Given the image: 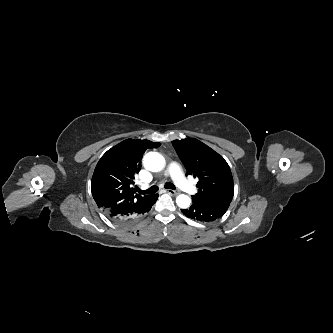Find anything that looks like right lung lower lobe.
Here are the masks:
<instances>
[{"instance_id": "98d812e1", "label": "right lung lower lobe", "mask_w": 333, "mask_h": 333, "mask_svg": "<svg viewBox=\"0 0 333 333\" xmlns=\"http://www.w3.org/2000/svg\"><path fill=\"white\" fill-rule=\"evenodd\" d=\"M157 198L158 194H153L146 200L135 203L132 206H114L104 210V213L116 223H132L139 220L145 213L150 211Z\"/></svg>"}]
</instances>
